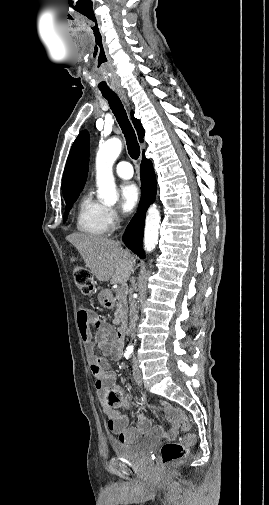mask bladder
Returning <instances> with one entry per match:
<instances>
[{"mask_svg":"<svg viewBox=\"0 0 269 505\" xmlns=\"http://www.w3.org/2000/svg\"><path fill=\"white\" fill-rule=\"evenodd\" d=\"M156 443L157 439L155 437L147 435L133 443L113 441L112 449L116 457L141 459Z\"/></svg>","mask_w":269,"mask_h":505,"instance_id":"31cf9c89","label":"bladder"}]
</instances>
